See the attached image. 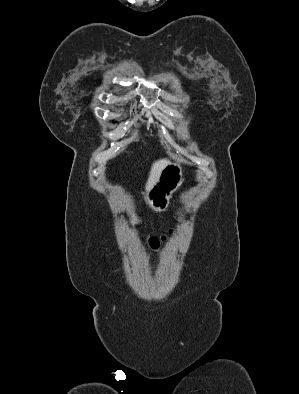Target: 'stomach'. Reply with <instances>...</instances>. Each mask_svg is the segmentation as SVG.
Returning <instances> with one entry per match:
<instances>
[{
    "instance_id": "1",
    "label": "stomach",
    "mask_w": 299,
    "mask_h": 394,
    "mask_svg": "<svg viewBox=\"0 0 299 394\" xmlns=\"http://www.w3.org/2000/svg\"><path fill=\"white\" fill-rule=\"evenodd\" d=\"M183 168L179 162L167 163L153 186L148 190L146 203L156 212L165 211L170 203L172 194L181 186L183 178ZM132 225L140 222L136 213L129 217Z\"/></svg>"
}]
</instances>
